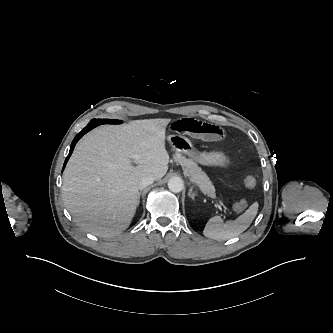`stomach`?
Returning a JSON list of instances; mask_svg holds the SVG:
<instances>
[{"label": "stomach", "instance_id": "obj_1", "mask_svg": "<svg viewBox=\"0 0 333 333\" xmlns=\"http://www.w3.org/2000/svg\"><path fill=\"white\" fill-rule=\"evenodd\" d=\"M168 141L177 152L183 153L197 162L218 167H226L230 162L229 158L223 152L199 153L191 141L184 136L169 135Z\"/></svg>", "mask_w": 333, "mask_h": 333}]
</instances>
